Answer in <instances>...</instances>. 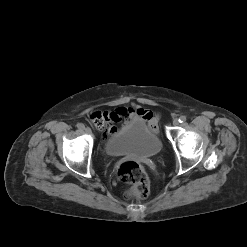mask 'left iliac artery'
Masks as SVG:
<instances>
[{
    "label": "left iliac artery",
    "mask_w": 247,
    "mask_h": 247,
    "mask_svg": "<svg viewBox=\"0 0 247 247\" xmlns=\"http://www.w3.org/2000/svg\"><path fill=\"white\" fill-rule=\"evenodd\" d=\"M186 121V116H181L180 118H179V122L180 123H183V122H185Z\"/></svg>",
    "instance_id": "44dca946"
}]
</instances>
